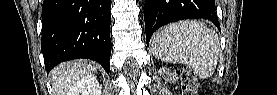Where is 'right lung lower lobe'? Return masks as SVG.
<instances>
[{
  "label": "right lung lower lobe",
  "mask_w": 277,
  "mask_h": 95,
  "mask_svg": "<svg viewBox=\"0 0 277 95\" xmlns=\"http://www.w3.org/2000/svg\"><path fill=\"white\" fill-rule=\"evenodd\" d=\"M111 0H44L41 51L46 71L87 58L110 70Z\"/></svg>",
  "instance_id": "1"
}]
</instances>
